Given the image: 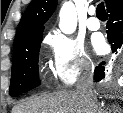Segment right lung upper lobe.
Masks as SVG:
<instances>
[{
  "mask_svg": "<svg viewBox=\"0 0 123 113\" xmlns=\"http://www.w3.org/2000/svg\"><path fill=\"white\" fill-rule=\"evenodd\" d=\"M111 0H105L106 7ZM57 0H32L22 16L15 41L14 50L24 42L42 35L45 22L51 17Z\"/></svg>",
  "mask_w": 123,
  "mask_h": 113,
  "instance_id": "1",
  "label": "right lung upper lobe"
}]
</instances>
